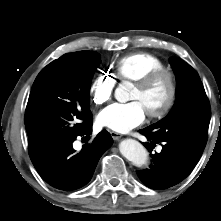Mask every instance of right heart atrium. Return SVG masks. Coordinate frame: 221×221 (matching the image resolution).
<instances>
[{
	"label": "right heart atrium",
	"instance_id": "obj_1",
	"mask_svg": "<svg viewBox=\"0 0 221 221\" xmlns=\"http://www.w3.org/2000/svg\"><path fill=\"white\" fill-rule=\"evenodd\" d=\"M115 80L105 72L99 73L91 82L89 92L91 100L96 105L109 102L113 96Z\"/></svg>",
	"mask_w": 221,
	"mask_h": 221
}]
</instances>
